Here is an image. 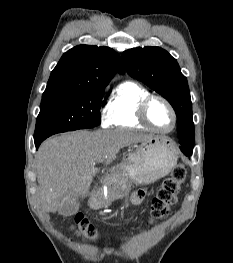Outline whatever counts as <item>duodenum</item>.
<instances>
[{"label": "duodenum", "instance_id": "410a0bca", "mask_svg": "<svg viewBox=\"0 0 233 263\" xmlns=\"http://www.w3.org/2000/svg\"><path fill=\"white\" fill-rule=\"evenodd\" d=\"M90 204L93 208L98 207L99 205V197L97 194H94L90 197Z\"/></svg>", "mask_w": 233, "mask_h": 263}]
</instances>
